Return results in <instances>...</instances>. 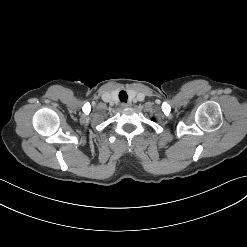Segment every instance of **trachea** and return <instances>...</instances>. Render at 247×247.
Instances as JSON below:
<instances>
[{"label": "trachea", "instance_id": "obj_1", "mask_svg": "<svg viewBox=\"0 0 247 247\" xmlns=\"http://www.w3.org/2000/svg\"><path fill=\"white\" fill-rule=\"evenodd\" d=\"M119 99H120V101L121 102H127V99H128V95H127V93L125 92V91H120V93H119Z\"/></svg>", "mask_w": 247, "mask_h": 247}]
</instances>
